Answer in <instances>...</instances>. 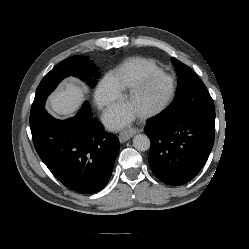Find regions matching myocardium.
Returning a JSON list of instances; mask_svg holds the SVG:
<instances>
[{"mask_svg":"<svg viewBox=\"0 0 249 249\" xmlns=\"http://www.w3.org/2000/svg\"><path fill=\"white\" fill-rule=\"evenodd\" d=\"M160 79H166L170 81L171 88L169 91V94L165 98V100L158 105L157 107L150 109L148 111H145L143 113L138 114V117L140 119H148L155 117L161 113H163L172 103L175 93H176V83L172 76L162 72L154 75L147 76L137 82L135 85H133L128 92L124 96V101L128 102L129 100L133 99L139 92H141L144 88H146L148 85H150L152 82Z\"/></svg>","mask_w":249,"mask_h":249,"instance_id":"1","label":"myocardium"}]
</instances>
